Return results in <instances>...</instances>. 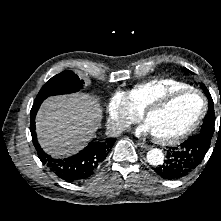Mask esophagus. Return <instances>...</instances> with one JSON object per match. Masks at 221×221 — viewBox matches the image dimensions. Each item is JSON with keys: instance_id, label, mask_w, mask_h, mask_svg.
<instances>
[{"instance_id": "esophagus-1", "label": "esophagus", "mask_w": 221, "mask_h": 221, "mask_svg": "<svg viewBox=\"0 0 221 221\" xmlns=\"http://www.w3.org/2000/svg\"><path fill=\"white\" fill-rule=\"evenodd\" d=\"M136 144H137L139 147L143 148V149H149V148H150V146H148L146 143L141 142V141H137Z\"/></svg>"}]
</instances>
